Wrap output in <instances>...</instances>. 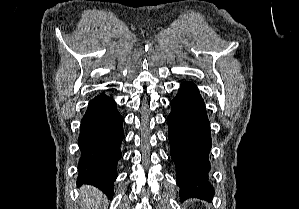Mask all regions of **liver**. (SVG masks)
I'll list each match as a JSON object with an SVG mask.
<instances>
[{"instance_id": "1", "label": "liver", "mask_w": 299, "mask_h": 209, "mask_svg": "<svg viewBox=\"0 0 299 209\" xmlns=\"http://www.w3.org/2000/svg\"><path fill=\"white\" fill-rule=\"evenodd\" d=\"M82 196L86 209L97 208L103 200L100 192L92 187H85L82 189Z\"/></svg>"}]
</instances>
